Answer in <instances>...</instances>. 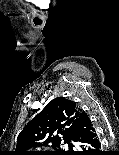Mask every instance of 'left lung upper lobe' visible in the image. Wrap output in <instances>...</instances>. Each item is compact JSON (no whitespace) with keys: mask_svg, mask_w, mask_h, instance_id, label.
I'll use <instances>...</instances> for the list:
<instances>
[{"mask_svg":"<svg viewBox=\"0 0 119 155\" xmlns=\"http://www.w3.org/2000/svg\"><path fill=\"white\" fill-rule=\"evenodd\" d=\"M80 109L64 97H57L23 128L17 138L14 155H76L71 141ZM68 144L67 148L62 145ZM50 147L52 151H35Z\"/></svg>","mask_w":119,"mask_h":155,"instance_id":"left-lung-upper-lobe-1","label":"left lung upper lobe"}]
</instances>
